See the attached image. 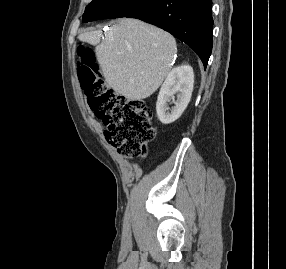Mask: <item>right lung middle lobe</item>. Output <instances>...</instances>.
<instances>
[{"mask_svg":"<svg viewBox=\"0 0 286 269\" xmlns=\"http://www.w3.org/2000/svg\"><path fill=\"white\" fill-rule=\"evenodd\" d=\"M152 0H92L82 16L83 22L128 17Z\"/></svg>","mask_w":286,"mask_h":269,"instance_id":"1","label":"right lung middle lobe"}]
</instances>
